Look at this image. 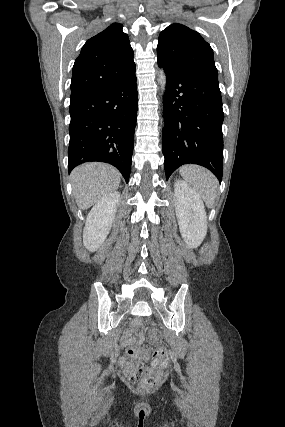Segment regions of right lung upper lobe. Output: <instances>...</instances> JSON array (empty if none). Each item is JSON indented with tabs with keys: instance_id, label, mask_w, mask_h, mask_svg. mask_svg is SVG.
I'll list each match as a JSON object with an SVG mask.
<instances>
[{
	"instance_id": "right-lung-upper-lobe-1",
	"label": "right lung upper lobe",
	"mask_w": 285,
	"mask_h": 427,
	"mask_svg": "<svg viewBox=\"0 0 285 427\" xmlns=\"http://www.w3.org/2000/svg\"><path fill=\"white\" fill-rule=\"evenodd\" d=\"M133 57L122 25L111 24L82 47L73 66L70 98L127 81L135 74Z\"/></svg>"
}]
</instances>
